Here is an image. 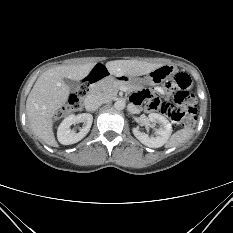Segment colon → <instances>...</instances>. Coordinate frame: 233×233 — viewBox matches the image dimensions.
Here are the masks:
<instances>
[{"label":"colon","mask_w":233,"mask_h":233,"mask_svg":"<svg viewBox=\"0 0 233 233\" xmlns=\"http://www.w3.org/2000/svg\"><path fill=\"white\" fill-rule=\"evenodd\" d=\"M190 78L184 73H177L166 85L167 90L173 94V102L153 99L150 107L168 116L172 121L185 128H191L196 122V98L189 92ZM84 85L80 90L71 95L64 112L80 110L84 103ZM87 91V90H86Z\"/></svg>","instance_id":"1"}]
</instances>
